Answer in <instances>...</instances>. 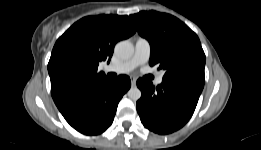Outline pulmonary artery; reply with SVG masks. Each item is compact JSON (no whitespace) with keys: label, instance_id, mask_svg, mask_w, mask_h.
Wrapping results in <instances>:
<instances>
[{"label":"pulmonary artery","instance_id":"e3ab8cb5","mask_svg":"<svg viewBox=\"0 0 261 150\" xmlns=\"http://www.w3.org/2000/svg\"><path fill=\"white\" fill-rule=\"evenodd\" d=\"M151 55V46L147 39L138 38L135 43V49L133 55L118 64H112L106 67L107 71L116 72V73H128L134 70L136 67L145 64ZM163 81L162 75H159L155 82L156 84H161Z\"/></svg>","mask_w":261,"mask_h":150}]
</instances>
